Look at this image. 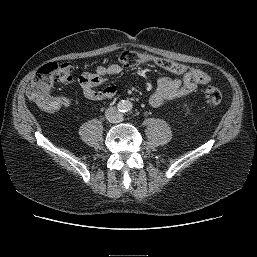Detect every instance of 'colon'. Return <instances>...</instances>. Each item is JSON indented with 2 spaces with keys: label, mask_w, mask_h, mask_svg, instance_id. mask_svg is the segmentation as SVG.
I'll use <instances>...</instances> for the list:
<instances>
[{
  "label": "colon",
  "mask_w": 257,
  "mask_h": 257,
  "mask_svg": "<svg viewBox=\"0 0 257 257\" xmlns=\"http://www.w3.org/2000/svg\"><path fill=\"white\" fill-rule=\"evenodd\" d=\"M121 67L129 68L143 62H153L158 67L178 75H190L201 84H207L210 76L197 68L177 63L170 59L155 57L137 51L128 50L118 58ZM75 68L70 62L62 64L48 63L42 66L34 75L31 84L27 88L28 98L45 111L55 112L68 104L65 97L53 96L50 93L55 83L69 84L74 81ZM204 101L217 106L222 101L221 91L214 86H207L203 91Z\"/></svg>",
  "instance_id": "1"
}]
</instances>
